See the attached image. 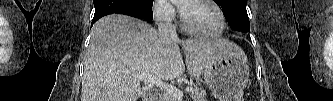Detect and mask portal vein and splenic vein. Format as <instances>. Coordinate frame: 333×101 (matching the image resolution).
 Returning a JSON list of instances; mask_svg holds the SVG:
<instances>
[{
	"label": "portal vein and splenic vein",
	"mask_w": 333,
	"mask_h": 101,
	"mask_svg": "<svg viewBox=\"0 0 333 101\" xmlns=\"http://www.w3.org/2000/svg\"><path fill=\"white\" fill-rule=\"evenodd\" d=\"M137 79H139L140 81H143L145 83H148L149 85H155L157 87H159L160 89L165 90L167 93L171 94L174 97H177L178 99H182L183 97V92L179 89H177L176 87H173L171 85H167L166 83H164L163 81H161L160 79L151 76V75H139L137 76ZM193 90L192 87H187L185 89L186 92H191Z\"/></svg>",
	"instance_id": "portal-vein-and-splenic-vein-1"
}]
</instances>
